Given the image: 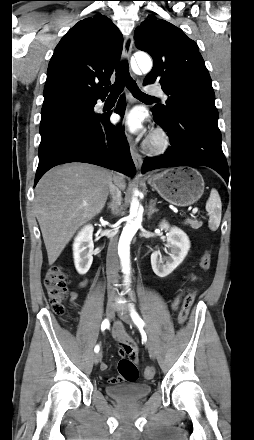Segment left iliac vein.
<instances>
[{
	"instance_id": "obj_1",
	"label": "left iliac vein",
	"mask_w": 254,
	"mask_h": 440,
	"mask_svg": "<svg viewBox=\"0 0 254 440\" xmlns=\"http://www.w3.org/2000/svg\"><path fill=\"white\" fill-rule=\"evenodd\" d=\"M119 317H120L125 323H127V324H129V325L132 324L131 317H130V315H129L128 313H126V312L120 313V314H119ZM147 348H148V352H149L150 356H151L153 359H155V358H156V355H157V350H156L155 345H154L151 341H149V342L147 343Z\"/></svg>"
}]
</instances>
